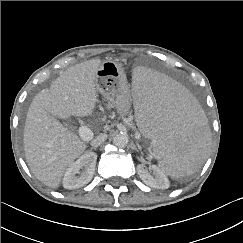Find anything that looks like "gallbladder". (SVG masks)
Instances as JSON below:
<instances>
[{
	"label": "gallbladder",
	"instance_id": "bac80fb5",
	"mask_svg": "<svg viewBox=\"0 0 243 243\" xmlns=\"http://www.w3.org/2000/svg\"><path fill=\"white\" fill-rule=\"evenodd\" d=\"M64 125H65L66 127H68V128H71V127H72L71 124L68 123V122H64Z\"/></svg>",
	"mask_w": 243,
	"mask_h": 243
}]
</instances>
